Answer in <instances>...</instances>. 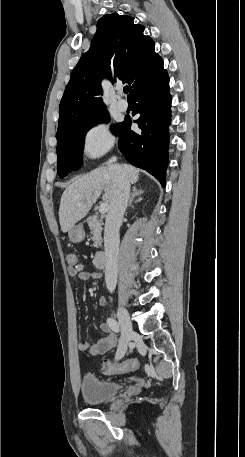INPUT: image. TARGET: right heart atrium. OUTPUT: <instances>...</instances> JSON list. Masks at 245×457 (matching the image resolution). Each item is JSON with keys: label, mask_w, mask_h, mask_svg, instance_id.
<instances>
[{"label": "right heart atrium", "mask_w": 245, "mask_h": 457, "mask_svg": "<svg viewBox=\"0 0 245 457\" xmlns=\"http://www.w3.org/2000/svg\"><path fill=\"white\" fill-rule=\"evenodd\" d=\"M112 141L113 137L104 123L92 126L84 136L85 149L92 156L102 154Z\"/></svg>", "instance_id": "obj_1"}]
</instances>
